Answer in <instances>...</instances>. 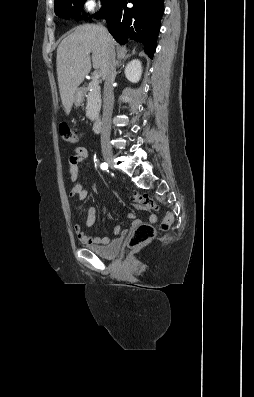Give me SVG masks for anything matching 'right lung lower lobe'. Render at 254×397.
<instances>
[{
    "label": "right lung lower lobe",
    "instance_id": "obj_1",
    "mask_svg": "<svg viewBox=\"0 0 254 397\" xmlns=\"http://www.w3.org/2000/svg\"><path fill=\"white\" fill-rule=\"evenodd\" d=\"M133 3L132 8L127 3ZM164 13V0H113L111 5L95 18H105L108 30L120 44L127 38L141 42L145 53L152 58Z\"/></svg>",
    "mask_w": 254,
    "mask_h": 397
}]
</instances>
